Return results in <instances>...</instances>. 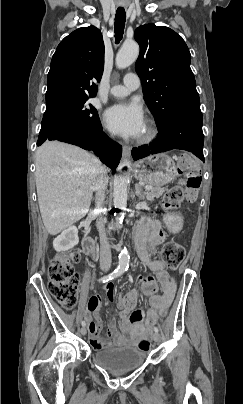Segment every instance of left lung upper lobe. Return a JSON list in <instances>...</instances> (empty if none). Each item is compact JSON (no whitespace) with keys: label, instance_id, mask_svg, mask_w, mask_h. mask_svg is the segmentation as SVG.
Wrapping results in <instances>:
<instances>
[{"label":"left lung upper lobe","instance_id":"1","mask_svg":"<svg viewBox=\"0 0 243 404\" xmlns=\"http://www.w3.org/2000/svg\"><path fill=\"white\" fill-rule=\"evenodd\" d=\"M134 38L140 46L135 70L157 127L178 112H201L191 55L181 36L149 23L137 28Z\"/></svg>","mask_w":243,"mask_h":404}]
</instances>
